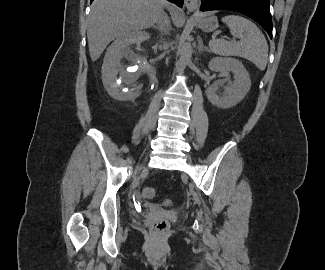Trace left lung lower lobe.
I'll list each match as a JSON object with an SVG mask.
<instances>
[{"label": "left lung lower lobe", "instance_id": "1", "mask_svg": "<svg viewBox=\"0 0 325 270\" xmlns=\"http://www.w3.org/2000/svg\"><path fill=\"white\" fill-rule=\"evenodd\" d=\"M201 10H231L258 22L272 38L270 0H201Z\"/></svg>", "mask_w": 325, "mask_h": 270}]
</instances>
